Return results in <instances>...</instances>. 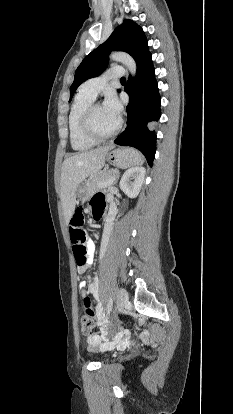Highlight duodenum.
I'll return each instance as SVG.
<instances>
[{"instance_id":"410a0bca","label":"duodenum","mask_w":233,"mask_h":414,"mask_svg":"<svg viewBox=\"0 0 233 414\" xmlns=\"http://www.w3.org/2000/svg\"><path fill=\"white\" fill-rule=\"evenodd\" d=\"M100 215H101V212H98V211H96L95 213H94V217L95 218H99L100 217ZM114 215V214H113ZM112 217V216H111Z\"/></svg>"}]
</instances>
